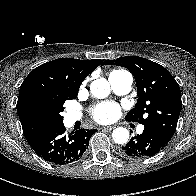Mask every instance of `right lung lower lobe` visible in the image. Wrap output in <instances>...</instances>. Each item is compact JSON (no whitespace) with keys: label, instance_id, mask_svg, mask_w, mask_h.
I'll return each mask as SVG.
<instances>
[{"label":"right lung lower lobe","instance_id":"right-lung-lower-lobe-1","mask_svg":"<svg viewBox=\"0 0 196 196\" xmlns=\"http://www.w3.org/2000/svg\"><path fill=\"white\" fill-rule=\"evenodd\" d=\"M95 132V129H80L66 134L65 127L61 124L40 133L28 143L44 160L64 165L77 161L83 155Z\"/></svg>","mask_w":196,"mask_h":196}]
</instances>
